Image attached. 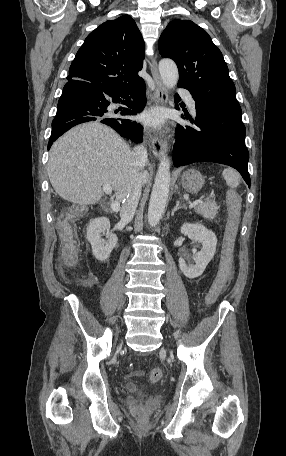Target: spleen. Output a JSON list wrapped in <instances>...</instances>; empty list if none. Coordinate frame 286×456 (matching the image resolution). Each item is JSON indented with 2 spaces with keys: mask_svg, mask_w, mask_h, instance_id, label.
I'll use <instances>...</instances> for the list:
<instances>
[{
  "mask_svg": "<svg viewBox=\"0 0 286 456\" xmlns=\"http://www.w3.org/2000/svg\"><path fill=\"white\" fill-rule=\"evenodd\" d=\"M222 176L226 181V184L231 188H236L240 184L239 174L232 168H226L222 172Z\"/></svg>",
  "mask_w": 286,
  "mask_h": 456,
  "instance_id": "spleen-1",
  "label": "spleen"
}]
</instances>
